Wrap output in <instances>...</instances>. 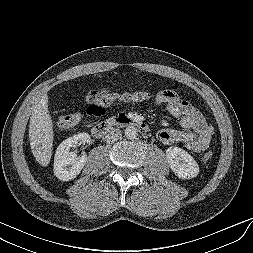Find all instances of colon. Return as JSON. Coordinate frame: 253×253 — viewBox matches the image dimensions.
I'll use <instances>...</instances> for the list:
<instances>
[{"label": "colon", "mask_w": 253, "mask_h": 253, "mask_svg": "<svg viewBox=\"0 0 253 253\" xmlns=\"http://www.w3.org/2000/svg\"><path fill=\"white\" fill-rule=\"evenodd\" d=\"M148 91H136L132 93L113 94L106 91H96L93 93L92 99L96 103L90 107V112L94 114H102L105 112L104 105L115 102H137L143 101L151 97ZM81 119L78 113L63 114L57 120L58 130H68L73 128ZM213 152H206L202 159L204 162L211 160Z\"/></svg>", "instance_id": "1"}]
</instances>
